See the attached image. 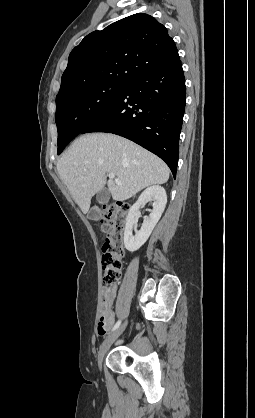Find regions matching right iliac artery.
<instances>
[{"mask_svg":"<svg viewBox=\"0 0 255 418\" xmlns=\"http://www.w3.org/2000/svg\"><path fill=\"white\" fill-rule=\"evenodd\" d=\"M120 324H121V320H118L116 324L114 325V327L112 328V331H115L120 326Z\"/></svg>","mask_w":255,"mask_h":418,"instance_id":"1","label":"right iliac artery"}]
</instances>
